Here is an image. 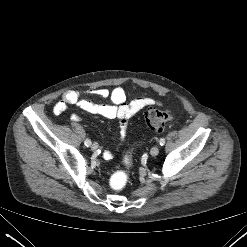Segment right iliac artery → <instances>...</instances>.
I'll use <instances>...</instances> for the list:
<instances>
[{
  "label": "right iliac artery",
  "mask_w": 247,
  "mask_h": 247,
  "mask_svg": "<svg viewBox=\"0 0 247 247\" xmlns=\"http://www.w3.org/2000/svg\"><path fill=\"white\" fill-rule=\"evenodd\" d=\"M85 145H86L87 147H89V146L91 145V140L86 139V140H85Z\"/></svg>",
  "instance_id": "right-iliac-artery-1"
}]
</instances>
